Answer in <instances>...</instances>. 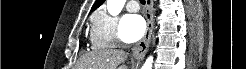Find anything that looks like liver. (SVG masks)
<instances>
[{
    "label": "liver",
    "instance_id": "1",
    "mask_svg": "<svg viewBox=\"0 0 246 69\" xmlns=\"http://www.w3.org/2000/svg\"><path fill=\"white\" fill-rule=\"evenodd\" d=\"M127 54L123 50L100 49L82 56L76 69H116L123 63ZM122 69H127L123 66Z\"/></svg>",
    "mask_w": 246,
    "mask_h": 69
}]
</instances>
